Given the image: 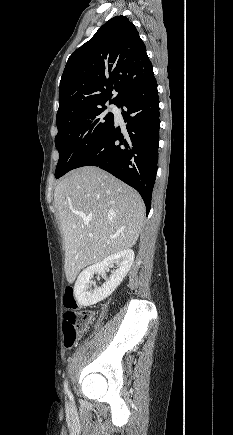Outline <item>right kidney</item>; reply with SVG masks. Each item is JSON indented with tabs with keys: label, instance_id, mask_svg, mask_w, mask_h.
Masks as SVG:
<instances>
[{
	"label": "right kidney",
	"instance_id": "obj_1",
	"mask_svg": "<svg viewBox=\"0 0 233 435\" xmlns=\"http://www.w3.org/2000/svg\"><path fill=\"white\" fill-rule=\"evenodd\" d=\"M133 262V250L126 249L110 255L102 262L84 269L79 274L74 285V295L77 302L81 306L87 307L107 298L123 281ZM114 264L117 266V269L112 272L109 278H105V283L101 287L95 288L93 291H88L90 279L93 277L94 273L104 275L105 270Z\"/></svg>",
	"mask_w": 233,
	"mask_h": 435
}]
</instances>
